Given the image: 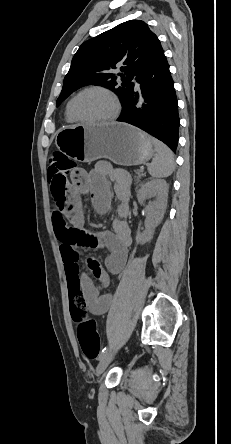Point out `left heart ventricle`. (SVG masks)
<instances>
[{
	"instance_id": "obj_1",
	"label": "left heart ventricle",
	"mask_w": 231,
	"mask_h": 444,
	"mask_svg": "<svg viewBox=\"0 0 231 444\" xmlns=\"http://www.w3.org/2000/svg\"><path fill=\"white\" fill-rule=\"evenodd\" d=\"M77 113L87 120H99L109 116L113 111L110 99L100 91H88L76 102Z\"/></svg>"
}]
</instances>
